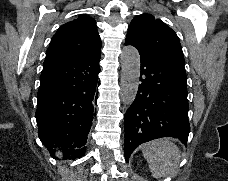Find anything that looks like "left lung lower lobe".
Listing matches in <instances>:
<instances>
[{"label": "left lung lower lobe", "instance_id": "left-lung-lower-lobe-1", "mask_svg": "<svg viewBox=\"0 0 228 181\" xmlns=\"http://www.w3.org/2000/svg\"><path fill=\"white\" fill-rule=\"evenodd\" d=\"M139 53L142 83L124 116L126 158L140 144L160 137L178 138L187 146L190 132L184 65L164 57Z\"/></svg>", "mask_w": 228, "mask_h": 181}]
</instances>
